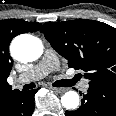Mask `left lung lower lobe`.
Instances as JSON below:
<instances>
[{
    "label": "left lung lower lobe",
    "mask_w": 116,
    "mask_h": 116,
    "mask_svg": "<svg viewBox=\"0 0 116 116\" xmlns=\"http://www.w3.org/2000/svg\"><path fill=\"white\" fill-rule=\"evenodd\" d=\"M66 116H116V87L89 86L81 106Z\"/></svg>",
    "instance_id": "1"
}]
</instances>
